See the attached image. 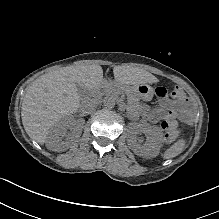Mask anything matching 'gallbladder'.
Wrapping results in <instances>:
<instances>
[{
	"instance_id": "1",
	"label": "gallbladder",
	"mask_w": 219,
	"mask_h": 219,
	"mask_svg": "<svg viewBox=\"0 0 219 219\" xmlns=\"http://www.w3.org/2000/svg\"><path fill=\"white\" fill-rule=\"evenodd\" d=\"M78 93H79V95H80L81 97H85V96L89 95V91H88L87 89H85V88H80V87H79ZM60 124H61V123H60ZM60 124H59V125H60Z\"/></svg>"
}]
</instances>
